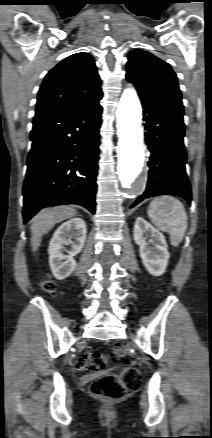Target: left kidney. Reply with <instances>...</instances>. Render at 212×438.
I'll return each instance as SVG.
<instances>
[{
	"mask_svg": "<svg viewBox=\"0 0 212 438\" xmlns=\"http://www.w3.org/2000/svg\"><path fill=\"white\" fill-rule=\"evenodd\" d=\"M133 236L147 271L154 276L162 275L170 257L164 235L144 218L138 217ZM148 237H150L149 242L146 241Z\"/></svg>",
	"mask_w": 212,
	"mask_h": 438,
	"instance_id": "obj_1",
	"label": "left kidney"
}]
</instances>
